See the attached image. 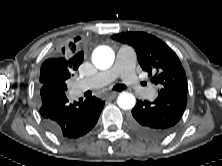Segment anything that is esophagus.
Listing matches in <instances>:
<instances>
[{
	"label": "esophagus",
	"instance_id": "esophagus-1",
	"mask_svg": "<svg viewBox=\"0 0 222 166\" xmlns=\"http://www.w3.org/2000/svg\"><path fill=\"white\" fill-rule=\"evenodd\" d=\"M118 94H119V92H111V93H108V94L106 95V98H108V99H114V98L117 97Z\"/></svg>",
	"mask_w": 222,
	"mask_h": 166
}]
</instances>
